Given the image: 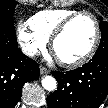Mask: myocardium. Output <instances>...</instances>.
I'll list each match as a JSON object with an SVG mask.
<instances>
[{"instance_id": "f54148a6", "label": "myocardium", "mask_w": 108, "mask_h": 108, "mask_svg": "<svg viewBox=\"0 0 108 108\" xmlns=\"http://www.w3.org/2000/svg\"><path fill=\"white\" fill-rule=\"evenodd\" d=\"M83 16H87V17L91 18L94 23L95 36H94L93 42H92L91 46L89 47V49L82 56H80L77 59H74V60L58 59L59 63L64 67L75 68V67L83 65L94 55V53L96 52L97 47L99 45L100 38H101V29H100V24H99L97 17L94 14H92L91 12L80 11V12H77V13L69 16L68 18H66L57 27V29L54 31V33L52 34V36L50 38L51 49L54 50L55 43L65 33V31L68 29V27L71 25V23L74 22L79 17H83Z\"/></svg>"}]
</instances>
